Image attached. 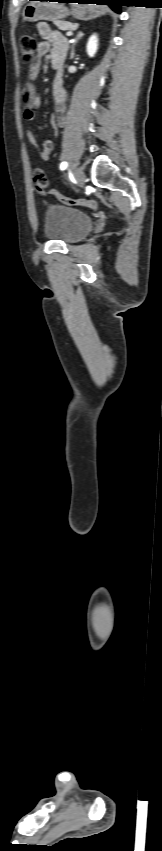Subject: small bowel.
<instances>
[{
	"label": "small bowel",
	"mask_w": 162,
	"mask_h": 851,
	"mask_svg": "<svg viewBox=\"0 0 162 851\" xmlns=\"http://www.w3.org/2000/svg\"><path fill=\"white\" fill-rule=\"evenodd\" d=\"M37 28L43 40L38 43L37 55L29 67L27 79L23 88V117L26 121L32 122L35 118V110L39 108L41 104V100L35 91L33 83L40 70L41 58L48 55L52 63L56 61L60 64V68L57 71L52 85V96L55 103V111L50 118V122L52 125L62 127L65 124L66 91L63 87L61 67L66 57L67 41L59 32L53 30L45 22H40ZM54 134L57 135V131H55ZM26 137L32 145L38 147L36 137L31 130L26 131ZM53 151L54 143L51 140H45L39 147L40 159L42 161L49 160Z\"/></svg>",
	"instance_id": "c3829d8e"
}]
</instances>
